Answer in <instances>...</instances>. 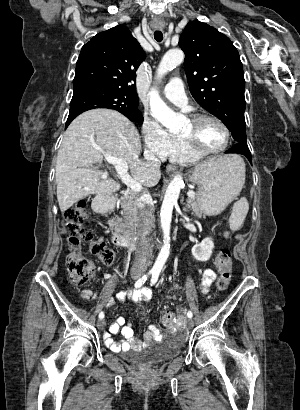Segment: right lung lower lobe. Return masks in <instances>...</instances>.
Returning <instances> with one entry per match:
<instances>
[{"mask_svg":"<svg viewBox=\"0 0 300 410\" xmlns=\"http://www.w3.org/2000/svg\"><path fill=\"white\" fill-rule=\"evenodd\" d=\"M71 121H72V120H71ZM71 121H68V122L66 123V126H68V125L70 124V122H71Z\"/></svg>","mask_w":300,"mask_h":410,"instance_id":"obj_1","label":"right lung lower lobe"}]
</instances>
